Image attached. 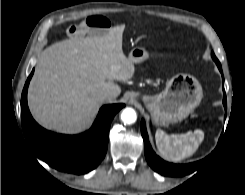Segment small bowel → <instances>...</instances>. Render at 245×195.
Here are the masks:
<instances>
[{
  "label": "small bowel",
  "instance_id": "1",
  "mask_svg": "<svg viewBox=\"0 0 245 195\" xmlns=\"http://www.w3.org/2000/svg\"><path fill=\"white\" fill-rule=\"evenodd\" d=\"M110 27V21L102 15H90L82 22L71 25L67 29V34L72 37L84 35L86 33H100Z\"/></svg>",
  "mask_w": 245,
  "mask_h": 195
}]
</instances>
